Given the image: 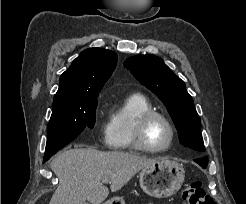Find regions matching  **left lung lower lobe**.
Listing matches in <instances>:
<instances>
[{"instance_id":"left-lung-lower-lobe-1","label":"left lung lower lobe","mask_w":246,"mask_h":204,"mask_svg":"<svg viewBox=\"0 0 246 204\" xmlns=\"http://www.w3.org/2000/svg\"><path fill=\"white\" fill-rule=\"evenodd\" d=\"M195 162H197L201 167L205 168L207 166L208 159L207 158L196 159Z\"/></svg>"}]
</instances>
